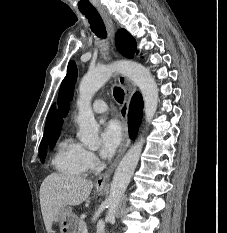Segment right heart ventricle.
Instances as JSON below:
<instances>
[{
    "label": "right heart ventricle",
    "instance_id": "e07e8e85",
    "mask_svg": "<svg viewBox=\"0 0 227 233\" xmlns=\"http://www.w3.org/2000/svg\"><path fill=\"white\" fill-rule=\"evenodd\" d=\"M85 150L82 144L66 137L59 142L52 163L64 175L82 177L88 170Z\"/></svg>",
    "mask_w": 227,
    "mask_h": 233
}]
</instances>
